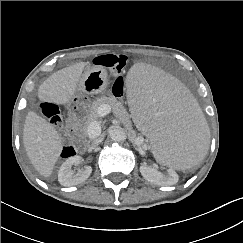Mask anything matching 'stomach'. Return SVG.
<instances>
[{"instance_id":"obj_1","label":"stomach","mask_w":243,"mask_h":243,"mask_svg":"<svg viewBox=\"0 0 243 243\" xmlns=\"http://www.w3.org/2000/svg\"><path fill=\"white\" fill-rule=\"evenodd\" d=\"M109 84L106 69L101 66H88L78 83L75 96L68 103L69 115L75 117L82 108L89 105L88 95L103 93Z\"/></svg>"}]
</instances>
